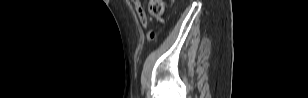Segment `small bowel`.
Listing matches in <instances>:
<instances>
[{"label": "small bowel", "instance_id": "1", "mask_svg": "<svg viewBox=\"0 0 308 98\" xmlns=\"http://www.w3.org/2000/svg\"><path fill=\"white\" fill-rule=\"evenodd\" d=\"M133 5L137 13L140 24L144 29H148V18L141 2L139 0H134Z\"/></svg>", "mask_w": 308, "mask_h": 98}]
</instances>
